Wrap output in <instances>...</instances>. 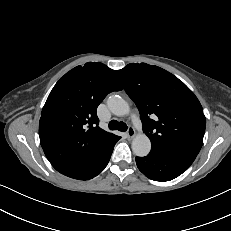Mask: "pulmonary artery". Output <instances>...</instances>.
<instances>
[{"mask_svg": "<svg viewBox=\"0 0 231 231\" xmlns=\"http://www.w3.org/2000/svg\"><path fill=\"white\" fill-rule=\"evenodd\" d=\"M135 125H136L137 128H139V126H140L139 120H135Z\"/></svg>", "mask_w": 231, "mask_h": 231, "instance_id": "1", "label": "pulmonary artery"}]
</instances>
